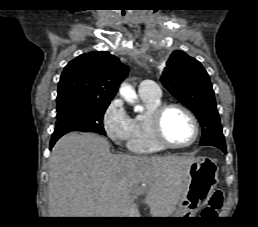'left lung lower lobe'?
Instances as JSON below:
<instances>
[{"instance_id":"1","label":"left lung lower lobe","mask_w":258,"mask_h":227,"mask_svg":"<svg viewBox=\"0 0 258 227\" xmlns=\"http://www.w3.org/2000/svg\"><path fill=\"white\" fill-rule=\"evenodd\" d=\"M217 147L220 148L224 153H227L226 146H217Z\"/></svg>"}]
</instances>
